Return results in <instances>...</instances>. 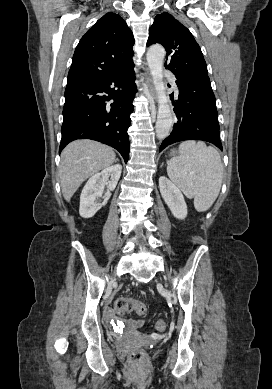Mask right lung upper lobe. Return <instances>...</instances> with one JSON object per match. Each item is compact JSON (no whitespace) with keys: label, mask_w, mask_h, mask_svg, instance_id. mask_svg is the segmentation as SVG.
<instances>
[{"label":"right lung upper lobe","mask_w":272,"mask_h":389,"mask_svg":"<svg viewBox=\"0 0 272 389\" xmlns=\"http://www.w3.org/2000/svg\"><path fill=\"white\" fill-rule=\"evenodd\" d=\"M133 45V33L125 21L117 14H105L77 45L68 81L98 76L132 61Z\"/></svg>","instance_id":"1"}]
</instances>
